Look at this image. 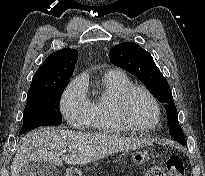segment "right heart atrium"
I'll use <instances>...</instances> for the list:
<instances>
[{
	"instance_id": "right-heart-atrium-1",
	"label": "right heart atrium",
	"mask_w": 205,
	"mask_h": 176,
	"mask_svg": "<svg viewBox=\"0 0 205 176\" xmlns=\"http://www.w3.org/2000/svg\"><path fill=\"white\" fill-rule=\"evenodd\" d=\"M59 105L64 118L71 126L81 129L87 124L91 114V102L83 77L78 76L67 85Z\"/></svg>"
}]
</instances>
